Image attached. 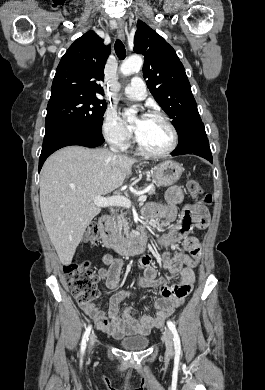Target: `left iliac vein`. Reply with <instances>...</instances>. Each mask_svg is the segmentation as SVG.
<instances>
[{
    "mask_svg": "<svg viewBox=\"0 0 265 390\" xmlns=\"http://www.w3.org/2000/svg\"><path fill=\"white\" fill-rule=\"evenodd\" d=\"M163 340L166 346V352L168 355H172L174 352V343H173V335L168 328L164 329L163 332Z\"/></svg>",
    "mask_w": 265,
    "mask_h": 390,
    "instance_id": "4c4485c4",
    "label": "left iliac vein"
}]
</instances>
